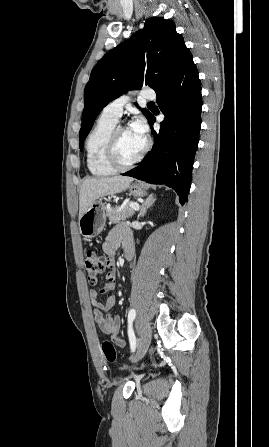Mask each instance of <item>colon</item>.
<instances>
[{"label": "colon", "mask_w": 269, "mask_h": 447, "mask_svg": "<svg viewBox=\"0 0 269 447\" xmlns=\"http://www.w3.org/2000/svg\"><path fill=\"white\" fill-rule=\"evenodd\" d=\"M106 256L97 251H88L83 259L85 277L91 285H95L101 279L102 273L106 267ZM101 351L105 359L113 363L117 360V350L111 342H103L101 345Z\"/></svg>", "instance_id": "obj_1"}]
</instances>
